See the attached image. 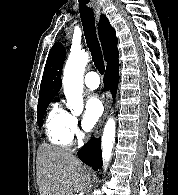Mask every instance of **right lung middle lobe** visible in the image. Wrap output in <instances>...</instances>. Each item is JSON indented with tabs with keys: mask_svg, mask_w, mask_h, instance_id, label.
Segmentation results:
<instances>
[{
	"mask_svg": "<svg viewBox=\"0 0 178 195\" xmlns=\"http://www.w3.org/2000/svg\"><path fill=\"white\" fill-rule=\"evenodd\" d=\"M50 102H46V103H43V104H39L37 109V122H38V125L41 126L42 125V120H43V117H44V114L46 112V109L48 107Z\"/></svg>",
	"mask_w": 178,
	"mask_h": 195,
	"instance_id": "dd1d6c3e",
	"label": "right lung middle lobe"
}]
</instances>
